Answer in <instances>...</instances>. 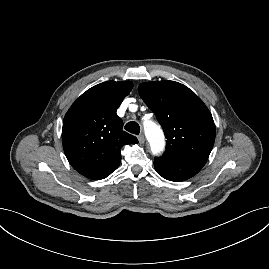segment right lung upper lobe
I'll return each instance as SVG.
<instances>
[{
  "label": "right lung upper lobe",
  "instance_id": "1",
  "mask_svg": "<svg viewBox=\"0 0 269 269\" xmlns=\"http://www.w3.org/2000/svg\"><path fill=\"white\" fill-rule=\"evenodd\" d=\"M132 82L107 81L84 92L63 120L62 143L72 167L90 179H103L121 162V147L138 140L122 130L116 110Z\"/></svg>",
  "mask_w": 269,
  "mask_h": 269
}]
</instances>
